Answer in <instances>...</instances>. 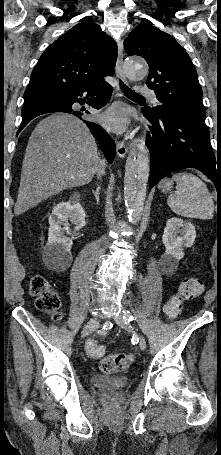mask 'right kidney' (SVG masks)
Instances as JSON below:
<instances>
[{"label":"right kidney","mask_w":221,"mask_h":455,"mask_svg":"<svg viewBox=\"0 0 221 455\" xmlns=\"http://www.w3.org/2000/svg\"><path fill=\"white\" fill-rule=\"evenodd\" d=\"M86 214L79 202H61L57 204L49 216L48 241L43 248V261L53 268H63L72 260V240L68 220L75 225L77 231L86 225Z\"/></svg>","instance_id":"right-kidney-1"}]
</instances>
